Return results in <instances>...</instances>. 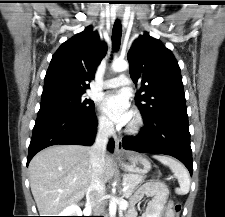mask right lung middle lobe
<instances>
[{
  "instance_id": "dd1d6c3e",
  "label": "right lung middle lobe",
  "mask_w": 225,
  "mask_h": 217,
  "mask_svg": "<svg viewBox=\"0 0 225 217\" xmlns=\"http://www.w3.org/2000/svg\"><path fill=\"white\" fill-rule=\"evenodd\" d=\"M81 92L54 91L42 94L40 109H58L76 114L94 110V102L84 99Z\"/></svg>"
}]
</instances>
